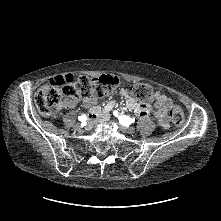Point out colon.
Segmentation results:
<instances>
[{"instance_id": "obj_1", "label": "colon", "mask_w": 221, "mask_h": 221, "mask_svg": "<svg viewBox=\"0 0 221 221\" xmlns=\"http://www.w3.org/2000/svg\"><path fill=\"white\" fill-rule=\"evenodd\" d=\"M119 84L117 77L105 75L98 78L80 77L69 85L54 86L51 83L44 85L37 93L35 104L44 116H55L69 101H78L81 98L103 97L111 94ZM132 95L140 101H152L155 94L152 88L144 83H136L131 87ZM172 122L176 126L184 123V113L174 102L169 104Z\"/></svg>"}]
</instances>
